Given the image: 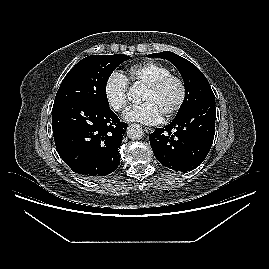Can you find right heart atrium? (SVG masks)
<instances>
[{
	"mask_svg": "<svg viewBox=\"0 0 269 269\" xmlns=\"http://www.w3.org/2000/svg\"><path fill=\"white\" fill-rule=\"evenodd\" d=\"M128 80L119 71L111 72L104 83V96L111 110L122 112L128 105Z\"/></svg>",
	"mask_w": 269,
	"mask_h": 269,
	"instance_id": "obj_1",
	"label": "right heart atrium"
}]
</instances>
